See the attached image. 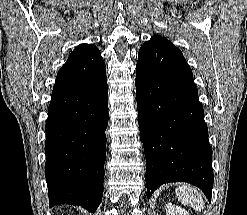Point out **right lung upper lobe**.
<instances>
[{
	"label": "right lung upper lobe",
	"instance_id": "obj_1",
	"mask_svg": "<svg viewBox=\"0 0 247 215\" xmlns=\"http://www.w3.org/2000/svg\"><path fill=\"white\" fill-rule=\"evenodd\" d=\"M95 49L97 48L94 45L80 44L74 49V51L70 55L84 53V52H88V51L95 50Z\"/></svg>",
	"mask_w": 247,
	"mask_h": 215
}]
</instances>
